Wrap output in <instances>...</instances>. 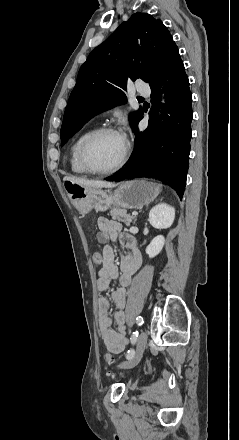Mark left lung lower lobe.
<instances>
[{"label":"left lung lower lobe","mask_w":239,"mask_h":440,"mask_svg":"<svg viewBox=\"0 0 239 440\" xmlns=\"http://www.w3.org/2000/svg\"><path fill=\"white\" fill-rule=\"evenodd\" d=\"M161 77L167 98L159 116ZM149 85L153 105L148 112V128L143 132L138 130V123L143 118L142 112L132 127L136 135V147L128 165L106 180L121 181L138 177L163 179L172 182L182 198L189 167L193 112L189 80L176 45L171 49L159 75Z\"/></svg>","instance_id":"left-lung-lower-lobe-1"}]
</instances>
